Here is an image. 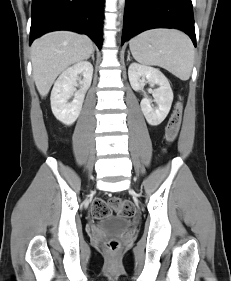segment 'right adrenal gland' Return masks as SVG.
Masks as SVG:
<instances>
[{"label":"right adrenal gland","instance_id":"obj_1","mask_svg":"<svg viewBox=\"0 0 231 281\" xmlns=\"http://www.w3.org/2000/svg\"><path fill=\"white\" fill-rule=\"evenodd\" d=\"M91 58L93 60V62L95 61V58H94V51L91 53Z\"/></svg>","mask_w":231,"mask_h":281}]
</instances>
